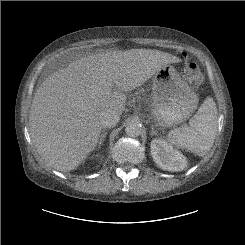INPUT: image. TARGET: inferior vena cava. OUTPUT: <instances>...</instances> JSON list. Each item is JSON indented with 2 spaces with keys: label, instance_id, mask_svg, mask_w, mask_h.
Here are the masks:
<instances>
[{
  "label": "inferior vena cava",
  "instance_id": "obj_1",
  "mask_svg": "<svg viewBox=\"0 0 245 245\" xmlns=\"http://www.w3.org/2000/svg\"><path fill=\"white\" fill-rule=\"evenodd\" d=\"M119 119V113L112 109H104L99 116L101 125L107 128L114 127L119 122Z\"/></svg>",
  "mask_w": 245,
  "mask_h": 245
}]
</instances>
